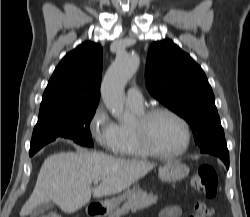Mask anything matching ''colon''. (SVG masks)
I'll use <instances>...</instances> for the list:
<instances>
[{"label":"colon","instance_id":"obj_1","mask_svg":"<svg viewBox=\"0 0 250 217\" xmlns=\"http://www.w3.org/2000/svg\"><path fill=\"white\" fill-rule=\"evenodd\" d=\"M191 187L207 196L208 198H214L218 193V177L215 169L210 165H202L191 176ZM196 216L192 217H204V215L210 214L211 209L203 202H198L194 206ZM42 217H61L57 213H50Z\"/></svg>","mask_w":250,"mask_h":217}]
</instances>
